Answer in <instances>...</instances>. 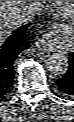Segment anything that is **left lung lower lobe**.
Listing matches in <instances>:
<instances>
[{
  "label": "left lung lower lobe",
  "mask_w": 74,
  "mask_h": 122,
  "mask_svg": "<svg viewBox=\"0 0 74 122\" xmlns=\"http://www.w3.org/2000/svg\"><path fill=\"white\" fill-rule=\"evenodd\" d=\"M69 63L67 73L56 81V88L62 94L74 96V53L71 55Z\"/></svg>",
  "instance_id": "obj_1"
}]
</instances>
